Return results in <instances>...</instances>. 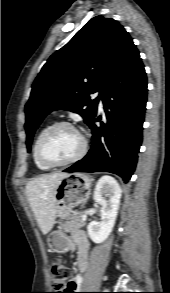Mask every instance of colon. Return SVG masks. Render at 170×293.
<instances>
[{"label":"colon","mask_w":170,"mask_h":293,"mask_svg":"<svg viewBox=\"0 0 170 293\" xmlns=\"http://www.w3.org/2000/svg\"><path fill=\"white\" fill-rule=\"evenodd\" d=\"M51 273L53 284L59 291L56 293H63L64 290L66 291V285L71 275L69 268L60 260H53Z\"/></svg>","instance_id":"obj_1"}]
</instances>
